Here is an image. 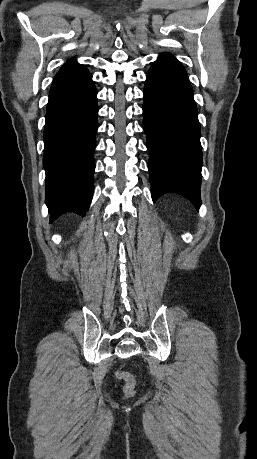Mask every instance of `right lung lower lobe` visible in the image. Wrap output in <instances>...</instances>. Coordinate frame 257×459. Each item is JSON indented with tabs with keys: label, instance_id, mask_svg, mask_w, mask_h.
I'll list each match as a JSON object with an SVG mask.
<instances>
[{
	"label": "right lung lower lobe",
	"instance_id": "right-lung-lower-lobe-1",
	"mask_svg": "<svg viewBox=\"0 0 257 459\" xmlns=\"http://www.w3.org/2000/svg\"><path fill=\"white\" fill-rule=\"evenodd\" d=\"M91 74L53 82L46 108L45 202L50 223L68 212L85 216L93 195V152L98 128Z\"/></svg>",
	"mask_w": 257,
	"mask_h": 459
}]
</instances>
